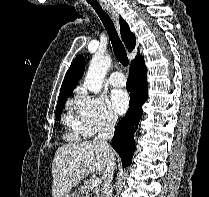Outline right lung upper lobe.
Listing matches in <instances>:
<instances>
[{
  "label": "right lung upper lobe",
  "instance_id": "1",
  "mask_svg": "<svg viewBox=\"0 0 209 197\" xmlns=\"http://www.w3.org/2000/svg\"><path fill=\"white\" fill-rule=\"evenodd\" d=\"M120 30L121 37L127 49L132 51L135 48V35L130 31L128 24L122 18H120ZM140 58H142V56L139 55L138 52L135 60H133L132 63ZM84 69L85 59L82 55H79L72 62L70 68L68 69L64 77L58 100L68 97V95L77 86L78 80L83 76Z\"/></svg>",
  "mask_w": 209,
  "mask_h": 197
}]
</instances>
